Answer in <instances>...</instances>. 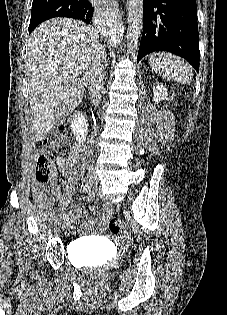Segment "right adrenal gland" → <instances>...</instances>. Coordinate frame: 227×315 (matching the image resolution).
Returning <instances> with one entry per match:
<instances>
[{
	"mask_svg": "<svg viewBox=\"0 0 227 315\" xmlns=\"http://www.w3.org/2000/svg\"><path fill=\"white\" fill-rule=\"evenodd\" d=\"M102 55H103V58H104V65H105V67H107V59H106V53H105L104 49L102 51Z\"/></svg>",
	"mask_w": 227,
	"mask_h": 315,
	"instance_id": "2a0ac1e0",
	"label": "right adrenal gland"
}]
</instances>
